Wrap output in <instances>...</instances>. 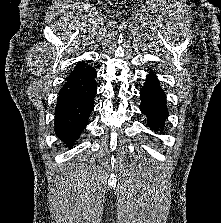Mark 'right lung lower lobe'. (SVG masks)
<instances>
[{"mask_svg":"<svg viewBox=\"0 0 221 223\" xmlns=\"http://www.w3.org/2000/svg\"><path fill=\"white\" fill-rule=\"evenodd\" d=\"M97 72L89 67L68 78L59 91L55 107V132L66 146H72L88 124L97 93Z\"/></svg>","mask_w":221,"mask_h":223,"instance_id":"98d812e1","label":"right lung lower lobe"}]
</instances>
